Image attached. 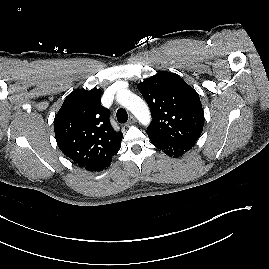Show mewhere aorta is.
Returning <instances> with one entry per match:
<instances>
[{
	"mask_svg": "<svg viewBox=\"0 0 269 269\" xmlns=\"http://www.w3.org/2000/svg\"><path fill=\"white\" fill-rule=\"evenodd\" d=\"M117 100L122 106L134 114L143 125L149 124L151 120L149 108L139 96L124 89L118 92Z\"/></svg>",
	"mask_w": 269,
	"mask_h": 269,
	"instance_id": "1",
	"label": "aorta"
}]
</instances>
